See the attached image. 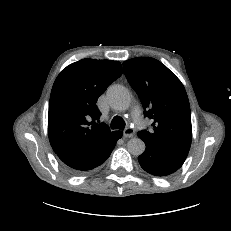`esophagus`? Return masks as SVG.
<instances>
[{
  "label": "esophagus",
  "instance_id": "1",
  "mask_svg": "<svg viewBox=\"0 0 231 231\" xmlns=\"http://www.w3.org/2000/svg\"><path fill=\"white\" fill-rule=\"evenodd\" d=\"M134 135H135V130L131 127H128L123 131V136L126 138H131Z\"/></svg>",
  "mask_w": 231,
  "mask_h": 231
}]
</instances>
